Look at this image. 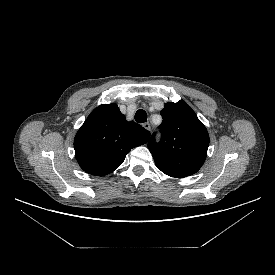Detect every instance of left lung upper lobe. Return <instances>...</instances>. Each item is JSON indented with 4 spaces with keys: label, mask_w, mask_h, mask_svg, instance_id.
<instances>
[{
    "label": "left lung upper lobe",
    "mask_w": 275,
    "mask_h": 275,
    "mask_svg": "<svg viewBox=\"0 0 275 275\" xmlns=\"http://www.w3.org/2000/svg\"><path fill=\"white\" fill-rule=\"evenodd\" d=\"M161 116V141L156 143L153 134L148 143L156 166L175 178L196 173L206 159L209 146L206 127L183 100L166 103Z\"/></svg>",
    "instance_id": "1"
}]
</instances>
